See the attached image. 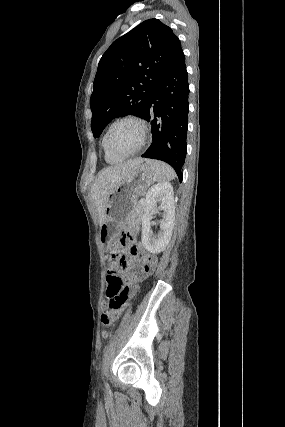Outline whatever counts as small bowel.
<instances>
[{
  "mask_svg": "<svg viewBox=\"0 0 285 427\" xmlns=\"http://www.w3.org/2000/svg\"><path fill=\"white\" fill-rule=\"evenodd\" d=\"M135 230H138V227H136V228H135ZM143 256H144L145 258H147V255H146V254H143ZM122 259H123V261H125V260H126V256L124 255V256L122 257ZM113 264H114V265H113V267H114V268L119 269V270L121 269V267H120V268H118V266H120L118 261H115ZM155 264H156V261H155L154 259H152V268H154V267H155ZM108 292H109V290H108ZM116 295H118V293H117V292H116ZM127 307H128V303H127V301H124V303L122 304V306H121V307H120V309L118 310V315H117V316L121 315V314H122V312H123Z\"/></svg>",
  "mask_w": 285,
  "mask_h": 427,
  "instance_id": "1",
  "label": "small bowel"
}]
</instances>
